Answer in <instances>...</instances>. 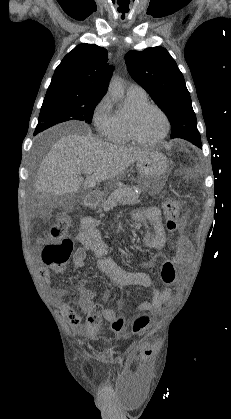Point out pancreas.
<instances>
[{
  "mask_svg": "<svg viewBox=\"0 0 231 419\" xmlns=\"http://www.w3.org/2000/svg\"><path fill=\"white\" fill-rule=\"evenodd\" d=\"M134 205L140 203L139 194L132 187L120 184L106 199L102 201V208L109 210L117 204Z\"/></svg>",
  "mask_w": 231,
  "mask_h": 419,
  "instance_id": "obj_1",
  "label": "pancreas"
}]
</instances>
